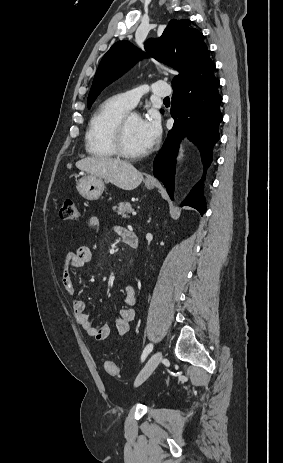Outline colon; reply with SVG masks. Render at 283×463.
<instances>
[{
    "label": "colon",
    "mask_w": 283,
    "mask_h": 463,
    "mask_svg": "<svg viewBox=\"0 0 283 463\" xmlns=\"http://www.w3.org/2000/svg\"><path fill=\"white\" fill-rule=\"evenodd\" d=\"M59 216L62 220H77L79 218V211L75 201L72 199H65L60 207ZM104 369L111 376H117L119 374V368L112 360L105 361Z\"/></svg>",
    "instance_id": "obj_1"
}]
</instances>
